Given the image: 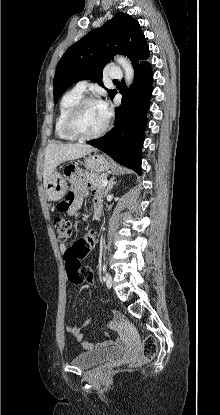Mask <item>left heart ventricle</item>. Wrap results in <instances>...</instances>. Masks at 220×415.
<instances>
[{"instance_id": "1", "label": "left heart ventricle", "mask_w": 220, "mask_h": 415, "mask_svg": "<svg viewBox=\"0 0 220 415\" xmlns=\"http://www.w3.org/2000/svg\"><path fill=\"white\" fill-rule=\"evenodd\" d=\"M106 123L103 118L99 104H89L81 112L78 118V128L84 134L98 132Z\"/></svg>"}]
</instances>
